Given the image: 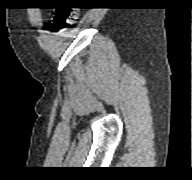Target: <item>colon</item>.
<instances>
[{
	"label": "colon",
	"mask_w": 192,
	"mask_h": 180,
	"mask_svg": "<svg viewBox=\"0 0 192 180\" xmlns=\"http://www.w3.org/2000/svg\"><path fill=\"white\" fill-rule=\"evenodd\" d=\"M78 18V9L77 8H62L58 9L54 18L53 26L60 30L72 25Z\"/></svg>",
	"instance_id": "colon-1"
}]
</instances>
